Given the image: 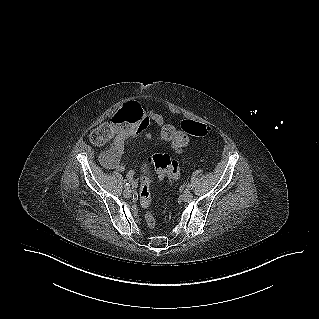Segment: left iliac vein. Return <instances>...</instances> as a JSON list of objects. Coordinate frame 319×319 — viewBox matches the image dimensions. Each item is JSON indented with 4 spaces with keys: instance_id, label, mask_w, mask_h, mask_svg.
Segmentation results:
<instances>
[{
    "instance_id": "1",
    "label": "left iliac vein",
    "mask_w": 319,
    "mask_h": 319,
    "mask_svg": "<svg viewBox=\"0 0 319 319\" xmlns=\"http://www.w3.org/2000/svg\"><path fill=\"white\" fill-rule=\"evenodd\" d=\"M193 198L192 193H190L189 191H185L182 195H181V199L184 202H188L191 201Z\"/></svg>"
}]
</instances>
